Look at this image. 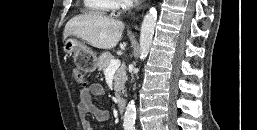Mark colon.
<instances>
[{
  "instance_id": "colon-1",
  "label": "colon",
  "mask_w": 257,
  "mask_h": 130,
  "mask_svg": "<svg viewBox=\"0 0 257 130\" xmlns=\"http://www.w3.org/2000/svg\"><path fill=\"white\" fill-rule=\"evenodd\" d=\"M72 76L76 83L83 85L85 83V76L80 69L74 68L72 70Z\"/></svg>"
}]
</instances>
